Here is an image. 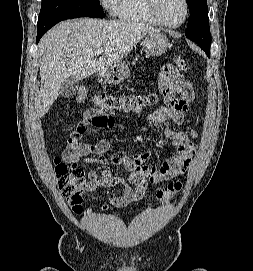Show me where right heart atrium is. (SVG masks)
I'll list each match as a JSON object with an SVG mask.
<instances>
[{
  "mask_svg": "<svg viewBox=\"0 0 253 271\" xmlns=\"http://www.w3.org/2000/svg\"><path fill=\"white\" fill-rule=\"evenodd\" d=\"M101 2L104 5V7L111 9V8H113L116 0H101Z\"/></svg>",
  "mask_w": 253,
  "mask_h": 271,
  "instance_id": "1",
  "label": "right heart atrium"
}]
</instances>
